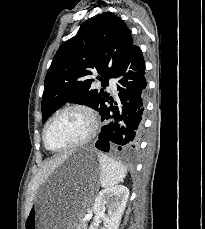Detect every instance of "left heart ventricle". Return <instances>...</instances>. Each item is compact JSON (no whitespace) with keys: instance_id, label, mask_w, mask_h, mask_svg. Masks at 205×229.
<instances>
[{"instance_id":"1","label":"left heart ventricle","mask_w":205,"mask_h":229,"mask_svg":"<svg viewBox=\"0 0 205 229\" xmlns=\"http://www.w3.org/2000/svg\"><path fill=\"white\" fill-rule=\"evenodd\" d=\"M89 129L87 117L78 111H67L50 126L47 141L52 148H61L82 139Z\"/></svg>"}]
</instances>
